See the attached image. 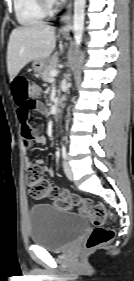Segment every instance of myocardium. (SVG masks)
<instances>
[{"label": "myocardium", "instance_id": "myocardium-1", "mask_svg": "<svg viewBox=\"0 0 134 281\" xmlns=\"http://www.w3.org/2000/svg\"><path fill=\"white\" fill-rule=\"evenodd\" d=\"M38 3L45 14H52L57 8V4L54 0H38Z\"/></svg>", "mask_w": 134, "mask_h": 281}]
</instances>
